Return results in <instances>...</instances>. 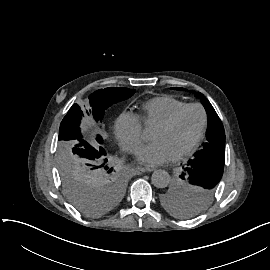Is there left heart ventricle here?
<instances>
[{
    "label": "left heart ventricle",
    "mask_w": 270,
    "mask_h": 270,
    "mask_svg": "<svg viewBox=\"0 0 270 270\" xmlns=\"http://www.w3.org/2000/svg\"><path fill=\"white\" fill-rule=\"evenodd\" d=\"M201 123V114L197 109L186 111L172 128L157 126L151 140L166 141L176 154L189 146L196 138Z\"/></svg>",
    "instance_id": "1"
}]
</instances>
